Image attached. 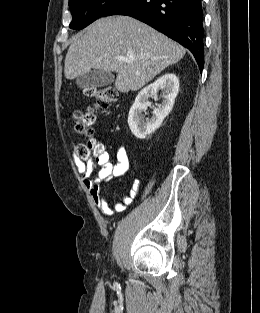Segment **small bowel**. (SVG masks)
Here are the masks:
<instances>
[{"label": "small bowel", "mask_w": 260, "mask_h": 313, "mask_svg": "<svg viewBox=\"0 0 260 313\" xmlns=\"http://www.w3.org/2000/svg\"><path fill=\"white\" fill-rule=\"evenodd\" d=\"M100 160L101 168L98 174L91 176L89 164L81 161L74 155L76 169L83 176V185L89 191L94 204L105 216L112 217L115 213L124 212L127 206L131 204L138 191L140 180L139 178H135L129 193L121 200L115 201L112 208L102 195V184L113 178L122 176L129 168V157L122 146H117L113 162L106 153L102 154Z\"/></svg>", "instance_id": "small-bowel-1"}]
</instances>
